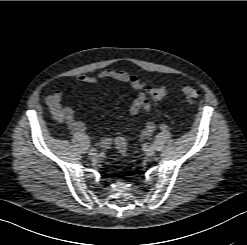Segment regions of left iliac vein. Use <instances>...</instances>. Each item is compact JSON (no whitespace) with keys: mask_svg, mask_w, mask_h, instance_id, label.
Segmentation results:
<instances>
[{"mask_svg":"<svg viewBox=\"0 0 247 245\" xmlns=\"http://www.w3.org/2000/svg\"><path fill=\"white\" fill-rule=\"evenodd\" d=\"M155 149H156V148H155L154 145L148 146L147 149H146V155H147L148 157L154 156V154H155Z\"/></svg>","mask_w":247,"mask_h":245,"instance_id":"left-iliac-vein-1","label":"left iliac vein"}]
</instances>
